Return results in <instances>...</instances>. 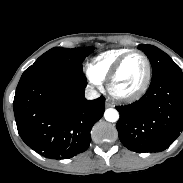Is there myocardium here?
Returning <instances> with one entry per match:
<instances>
[{
	"label": "myocardium",
	"mask_w": 183,
	"mask_h": 183,
	"mask_svg": "<svg viewBox=\"0 0 183 183\" xmlns=\"http://www.w3.org/2000/svg\"><path fill=\"white\" fill-rule=\"evenodd\" d=\"M133 53L139 54L144 59L145 67H146L145 77H144L142 84L133 92L120 93L114 89L113 82H114V79L117 76L123 62L125 61V59ZM151 77H152V68H151V63H150L148 56L139 49H130V50L126 51L121 57H119L118 60L111 67V69L106 77V88H107L108 93L114 99L122 101V102H131V101H135V100L139 99L146 93V91L149 88L150 82H151Z\"/></svg>",
	"instance_id": "myocardium-1"
}]
</instances>
